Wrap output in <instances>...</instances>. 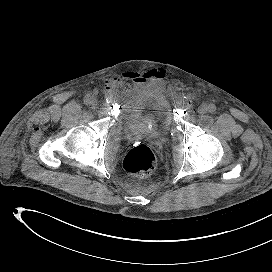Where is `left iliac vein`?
Returning <instances> with one entry per match:
<instances>
[{
	"label": "left iliac vein",
	"instance_id": "obj_1",
	"mask_svg": "<svg viewBox=\"0 0 272 272\" xmlns=\"http://www.w3.org/2000/svg\"><path fill=\"white\" fill-rule=\"evenodd\" d=\"M207 111H208V107H207L206 104H202L198 108V113H199L200 116H203L204 114H206Z\"/></svg>",
	"mask_w": 272,
	"mask_h": 272
}]
</instances>
